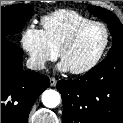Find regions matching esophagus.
Listing matches in <instances>:
<instances>
[{"label": "esophagus", "instance_id": "1", "mask_svg": "<svg viewBox=\"0 0 123 123\" xmlns=\"http://www.w3.org/2000/svg\"><path fill=\"white\" fill-rule=\"evenodd\" d=\"M57 84V80L54 77L50 78V86L51 87H55Z\"/></svg>", "mask_w": 123, "mask_h": 123}]
</instances>
